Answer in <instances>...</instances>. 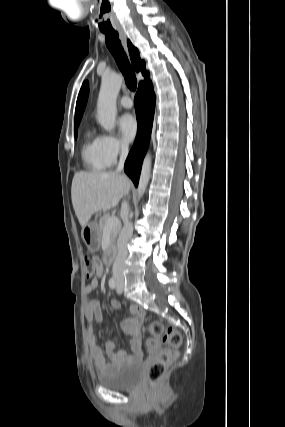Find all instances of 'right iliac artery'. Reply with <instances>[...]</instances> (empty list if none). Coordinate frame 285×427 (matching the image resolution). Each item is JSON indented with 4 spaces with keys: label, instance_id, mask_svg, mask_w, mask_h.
<instances>
[{
    "label": "right iliac artery",
    "instance_id": "82829eb1",
    "mask_svg": "<svg viewBox=\"0 0 285 427\" xmlns=\"http://www.w3.org/2000/svg\"><path fill=\"white\" fill-rule=\"evenodd\" d=\"M109 286L111 289H114L116 287V280L113 277L109 280Z\"/></svg>",
    "mask_w": 285,
    "mask_h": 427
}]
</instances>
